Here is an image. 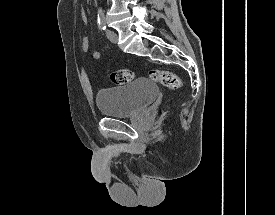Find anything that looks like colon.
I'll use <instances>...</instances> for the list:
<instances>
[{
  "label": "colon",
  "instance_id": "colon-1",
  "mask_svg": "<svg viewBox=\"0 0 275 215\" xmlns=\"http://www.w3.org/2000/svg\"><path fill=\"white\" fill-rule=\"evenodd\" d=\"M152 80L170 88L178 89L181 86L180 78L173 72L168 70L153 69L149 72ZM134 77V73L130 70H116L110 75L113 84L123 85L130 82Z\"/></svg>",
  "mask_w": 275,
  "mask_h": 215
}]
</instances>
